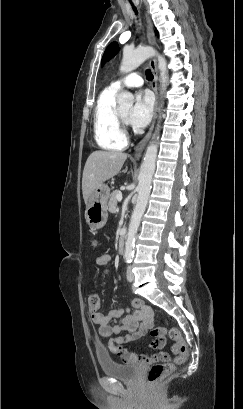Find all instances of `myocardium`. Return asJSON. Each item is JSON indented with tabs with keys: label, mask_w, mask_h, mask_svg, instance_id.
Wrapping results in <instances>:
<instances>
[{
	"label": "myocardium",
	"mask_w": 243,
	"mask_h": 409,
	"mask_svg": "<svg viewBox=\"0 0 243 409\" xmlns=\"http://www.w3.org/2000/svg\"><path fill=\"white\" fill-rule=\"evenodd\" d=\"M116 116H117L119 124L124 125L125 124V119L120 115L119 109H116Z\"/></svg>",
	"instance_id": "1"
}]
</instances>
